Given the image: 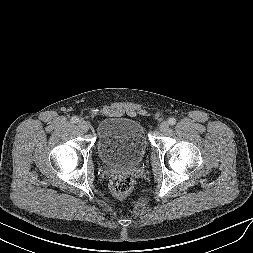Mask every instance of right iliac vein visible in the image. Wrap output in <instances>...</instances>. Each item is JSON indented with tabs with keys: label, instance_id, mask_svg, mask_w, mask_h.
<instances>
[{
	"label": "right iliac vein",
	"instance_id": "1",
	"mask_svg": "<svg viewBox=\"0 0 253 253\" xmlns=\"http://www.w3.org/2000/svg\"><path fill=\"white\" fill-rule=\"evenodd\" d=\"M78 127L82 132H87L89 130V124L85 120H80L78 122Z\"/></svg>",
	"mask_w": 253,
	"mask_h": 253
}]
</instances>
